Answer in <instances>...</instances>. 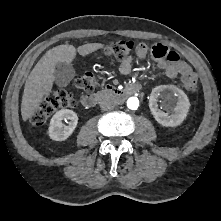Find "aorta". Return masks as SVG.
Masks as SVG:
<instances>
[{"label":"aorta","mask_w":221,"mask_h":221,"mask_svg":"<svg viewBox=\"0 0 221 221\" xmlns=\"http://www.w3.org/2000/svg\"><path fill=\"white\" fill-rule=\"evenodd\" d=\"M139 106V100L137 97H130L127 100V107L131 110H136Z\"/></svg>","instance_id":"aorta-1"}]
</instances>
